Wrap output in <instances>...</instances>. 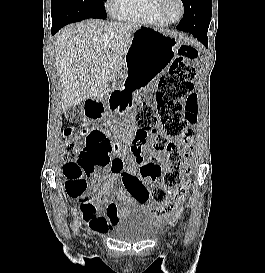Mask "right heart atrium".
<instances>
[{"label": "right heart atrium", "mask_w": 265, "mask_h": 273, "mask_svg": "<svg viewBox=\"0 0 265 273\" xmlns=\"http://www.w3.org/2000/svg\"><path fill=\"white\" fill-rule=\"evenodd\" d=\"M121 0H106V8L111 13H116Z\"/></svg>", "instance_id": "obj_1"}]
</instances>
